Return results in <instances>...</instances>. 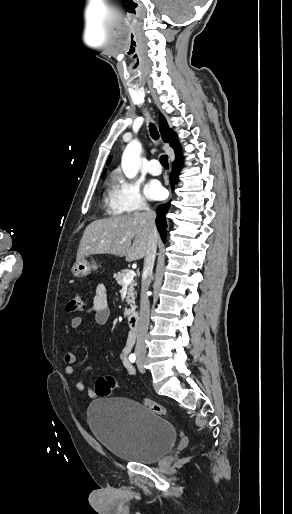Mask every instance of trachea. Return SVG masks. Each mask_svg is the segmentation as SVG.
Returning a JSON list of instances; mask_svg holds the SVG:
<instances>
[{
  "label": "trachea",
  "mask_w": 292,
  "mask_h": 514,
  "mask_svg": "<svg viewBox=\"0 0 292 514\" xmlns=\"http://www.w3.org/2000/svg\"><path fill=\"white\" fill-rule=\"evenodd\" d=\"M149 127H150L151 137L154 138V140H158L159 134H158V131H157L155 125L150 124ZM159 160H160L161 165L164 167V169L168 170L169 169L168 155H161Z\"/></svg>",
  "instance_id": "3493384b"
}]
</instances>
